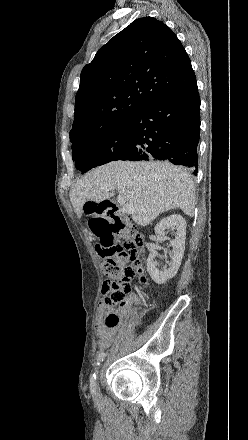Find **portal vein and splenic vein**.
<instances>
[{
	"mask_svg": "<svg viewBox=\"0 0 248 440\" xmlns=\"http://www.w3.org/2000/svg\"><path fill=\"white\" fill-rule=\"evenodd\" d=\"M102 190L108 191V189H102ZM117 201L122 206L123 213L132 214L134 212V208H132L130 204L126 203L122 196L118 195Z\"/></svg>",
	"mask_w": 248,
	"mask_h": 440,
	"instance_id": "obj_1",
	"label": "portal vein and splenic vein"
}]
</instances>
